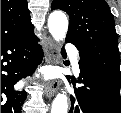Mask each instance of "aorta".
Wrapping results in <instances>:
<instances>
[{
    "label": "aorta",
    "instance_id": "obj_1",
    "mask_svg": "<svg viewBox=\"0 0 121 113\" xmlns=\"http://www.w3.org/2000/svg\"><path fill=\"white\" fill-rule=\"evenodd\" d=\"M48 28L56 41L63 40L68 29V20L66 15L61 11H54L48 18ZM68 102L64 93H59L53 103L51 113H67Z\"/></svg>",
    "mask_w": 121,
    "mask_h": 113
}]
</instances>
